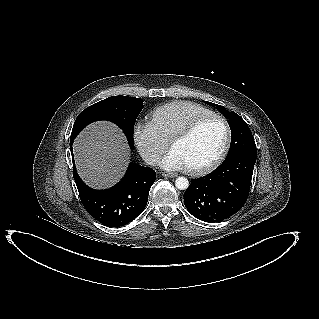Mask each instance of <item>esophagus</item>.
<instances>
[{
    "mask_svg": "<svg viewBox=\"0 0 319 319\" xmlns=\"http://www.w3.org/2000/svg\"><path fill=\"white\" fill-rule=\"evenodd\" d=\"M162 176H163V177H166V178H174V177H176L177 175H176V174H172V173H163Z\"/></svg>",
    "mask_w": 319,
    "mask_h": 319,
    "instance_id": "1",
    "label": "esophagus"
}]
</instances>
